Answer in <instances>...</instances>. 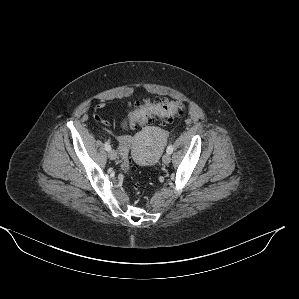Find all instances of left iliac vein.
I'll list each match as a JSON object with an SVG mask.
<instances>
[{
	"mask_svg": "<svg viewBox=\"0 0 299 299\" xmlns=\"http://www.w3.org/2000/svg\"><path fill=\"white\" fill-rule=\"evenodd\" d=\"M162 161L164 164H169L171 161V156L170 154L166 153L163 157H162Z\"/></svg>",
	"mask_w": 299,
	"mask_h": 299,
	"instance_id": "4c4485c4",
	"label": "left iliac vein"
}]
</instances>
